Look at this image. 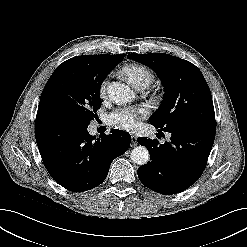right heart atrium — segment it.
<instances>
[{"instance_id":"right-heart-atrium-1","label":"right heart atrium","mask_w":247,"mask_h":247,"mask_svg":"<svg viewBox=\"0 0 247 247\" xmlns=\"http://www.w3.org/2000/svg\"><path fill=\"white\" fill-rule=\"evenodd\" d=\"M106 88H107V81L104 80L101 85H100V94L103 97L106 93Z\"/></svg>"}]
</instances>
